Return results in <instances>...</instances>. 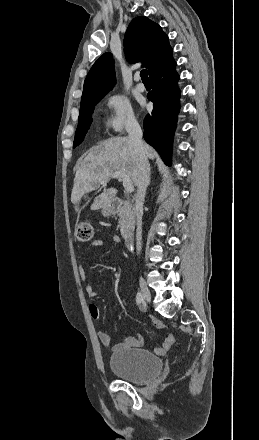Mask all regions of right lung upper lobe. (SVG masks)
<instances>
[{"label":"right lung upper lobe","instance_id":"right-lung-upper-lobe-1","mask_svg":"<svg viewBox=\"0 0 259 440\" xmlns=\"http://www.w3.org/2000/svg\"><path fill=\"white\" fill-rule=\"evenodd\" d=\"M125 53L132 62L142 61L149 75L172 56L167 35L145 16L134 18L125 33ZM116 81L111 53L103 54L90 69L83 87L81 104L103 98Z\"/></svg>","mask_w":259,"mask_h":440}]
</instances>
